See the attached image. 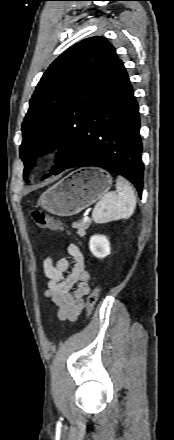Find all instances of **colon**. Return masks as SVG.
<instances>
[{
  "label": "colon",
  "mask_w": 174,
  "mask_h": 440,
  "mask_svg": "<svg viewBox=\"0 0 174 440\" xmlns=\"http://www.w3.org/2000/svg\"><path fill=\"white\" fill-rule=\"evenodd\" d=\"M32 219H33L34 223L39 228L48 229V230H52V231H64L65 230V227L59 222L58 219H56L53 216L46 215L40 211H33L32 212ZM99 293H100V288L98 286H96L87 297L88 316H90L94 310Z\"/></svg>",
  "instance_id": "1"
}]
</instances>
